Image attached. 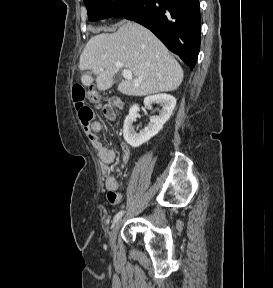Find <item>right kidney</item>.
<instances>
[{"label": "right kidney", "instance_id": "obj_1", "mask_svg": "<svg viewBox=\"0 0 273 288\" xmlns=\"http://www.w3.org/2000/svg\"><path fill=\"white\" fill-rule=\"evenodd\" d=\"M157 104L161 107L159 115L151 119L150 123L144 130L136 133L134 130L133 122L137 118V112L140 110L138 105H133L129 109V114L124 121L123 136L125 141L132 147L136 148L148 142L152 137L157 135L163 128V125L170 118L175 106V97L169 94H157L148 96L144 99L146 107Z\"/></svg>", "mask_w": 273, "mask_h": 288}]
</instances>
